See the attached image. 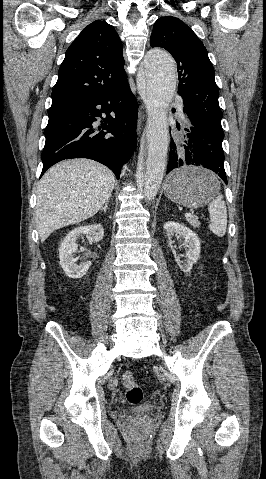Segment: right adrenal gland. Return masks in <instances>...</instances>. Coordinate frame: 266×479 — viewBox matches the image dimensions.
Returning a JSON list of instances; mask_svg holds the SVG:
<instances>
[{
	"instance_id": "obj_1",
	"label": "right adrenal gland",
	"mask_w": 266,
	"mask_h": 479,
	"mask_svg": "<svg viewBox=\"0 0 266 479\" xmlns=\"http://www.w3.org/2000/svg\"><path fill=\"white\" fill-rule=\"evenodd\" d=\"M108 205H109V199L106 201L105 206L102 207L101 211L103 210L104 212H106V210L108 209Z\"/></svg>"
}]
</instances>
